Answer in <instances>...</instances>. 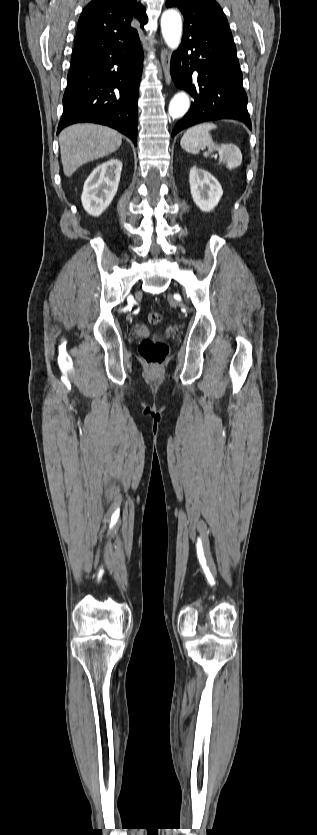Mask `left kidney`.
Listing matches in <instances>:
<instances>
[{"mask_svg": "<svg viewBox=\"0 0 317 835\" xmlns=\"http://www.w3.org/2000/svg\"><path fill=\"white\" fill-rule=\"evenodd\" d=\"M189 184L193 201L202 211L210 212L217 206L223 190L213 175L194 166L190 169Z\"/></svg>", "mask_w": 317, "mask_h": 835, "instance_id": "left-kidney-1", "label": "left kidney"}]
</instances>
